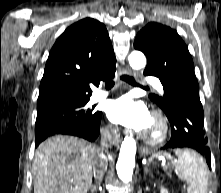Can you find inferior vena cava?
Listing matches in <instances>:
<instances>
[{
	"instance_id": "inferior-vena-cava-1",
	"label": "inferior vena cava",
	"mask_w": 221,
	"mask_h": 193,
	"mask_svg": "<svg viewBox=\"0 0 221 193\" xmlns=\"http://www.w3.org/2000/svg\"><path fill=\"white\" fill-rule=\"evenodd\" d=\"M116 138H117V130L113 128H111L110 130L103 131L101 134L102 149L99 159L93 167L94 178L96 179V182L98 184L101 183L102 178L107 169V157L103 153L104 148H108L109 146H111Z\"/></svg>"
}]
</instances>
